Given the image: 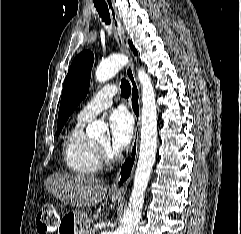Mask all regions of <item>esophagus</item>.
<instances>
[{"label": "esophagus", "mask_w": 241, "mask_h": 234, "mask_svg": "<svg viewBox=\"0 0 241 234\" xmlns=\"http://www.w3.org/2000/svg\"><path fill=\"white\" fill-rule=\"evenodd\" d=\"M108 6L111 18L114 22L117 40L120 49L129 55V50L126 45L125 32L123 25L118 17L117 11L114 6V0H105ZM126 75L131 86L130 95V108L135 118L136 126L133 136L132 145L128 154L127 160L121 165L117 172V177L111 188V194L115 196H123L126 192L127 186L132 178L134 168L138 156L139 135L141 126V101L139 87L134 73V65L130 62L126 68Z\"/></svg>", "instance_id": "esophagus-1"}]
</instances>
